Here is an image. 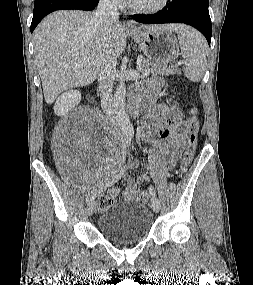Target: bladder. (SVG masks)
I'll return each instance as SVG.
<instances>
[{
	"instance_id": "1",
	"label": "bladder",
	"mask_w": 253,
	"mask_h": 285,
	"mask_svg": "<svg viewBox=\"0 0 253 285\" xmlns=\"http://www.w3.org/2000/svg\"><path fill=\"white\" fill-rule=\"evenodd\" d=\"M153 216L147 206L138 201H124L104 208L98 219L102 235L117 243L142 240L151 230Z\"/></svg>"
}]
</instances>
